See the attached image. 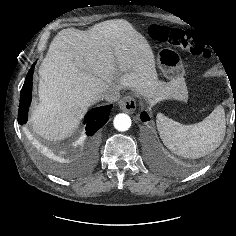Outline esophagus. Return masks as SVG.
Instances as JSON below:
<instances>
[{
	"label": "esophagus",
	"instance_id": "obj_1",
	"mask_svg": "<svg viewBox=\"0 0 236 236\" xmlns=\"http://www.w3.org/2000/svg\"><path fill=\"white\" fill-rule=\"evenodd\" d=\"M119 107L122 111L132 114L136 110V100L133 95H127L119 101Z\"/></svg>",
	"mask_w": 236,
	"mask_h": 236
}]
</instances>
